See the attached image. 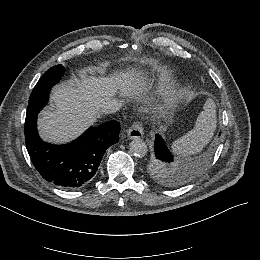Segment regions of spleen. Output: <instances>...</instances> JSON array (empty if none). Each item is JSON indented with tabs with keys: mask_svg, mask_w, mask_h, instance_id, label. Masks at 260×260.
Returning <instances> with one entry per match:
<instances>
[{
	"mask_svg": "<svg viewBox=\"0 0 260 260\" xmlns=\"http://www.w3.org/2000/svg\"><path fill=\"white\" fill-rule=\"evenodd\" d=\"M216 127V104L212 98H208L194 128L173 142L172 152L184 157L201 152L211 141Z\"/></svg>",
	"mask_w": 260,
	"mask_h": 260,
	"instance_id": "spleen-1",
	"label": "spleen"
}]
</instances>
